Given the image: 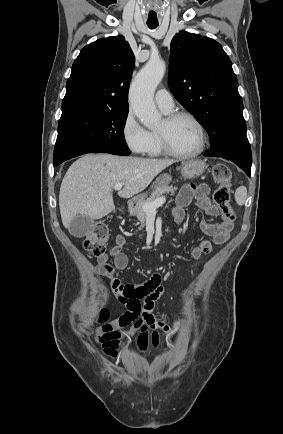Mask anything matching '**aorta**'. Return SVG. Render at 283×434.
I'll list each match as a JSON object with an SVG mask.
<instances>
[{"label":"aorta","instance_id":"1","mask_svg":"<svg viewBox=\"0 0 283 434\" xmlns=\"http://www.w3.org/2000/svg\"><path fill=\"white\" fill-rule=\"evenodd\" d=\"M165 70L166 65L163 60L150 58L130 86V106L141 123L148 129L157 128L161 122V115L156 109L153 96Z\"/></svg>","mask_w":283,"mask_h":434}]
</instances>
